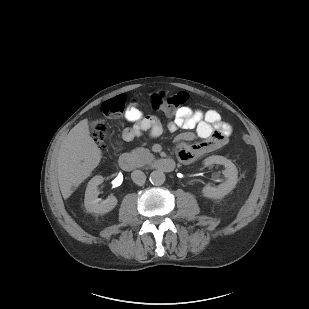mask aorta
Masks as SVG:
<instances>
[{
    "label": "aorta",
    "instance_id": "1",
    "mask_svg": "<svg viewBox=\"0 0 309 309\" xmlns=\"http://www.w3.org/2000/svg\"><path fill=\"white\" fill-rule=\"evenodd\" d=\"M150 182L156 186L162 185L165 182V174L159 170L151 172Z\"/></svg>",
    "mask_w": 309,
    "mask_h": 309
}]
</instances>
